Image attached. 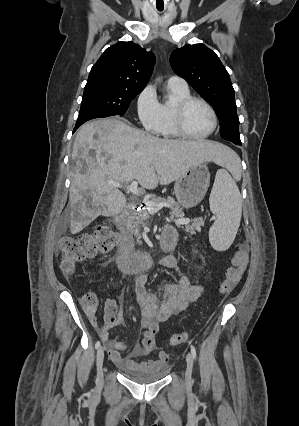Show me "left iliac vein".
Masks as SVG:
<instances>
[{
    "mask_svg": "<svg viewBox=\"0 0 299 426\" xmlns=\"http://www.w3.org/2000/svg\"><path fill=\"white\" fill-rule=\"evenodd\" d=\"M186 363H187V367H186V372H185V384L188 387V386L191 385L192 370H193V356H192L191 353H187Z\"/></svg>",
    "mask_w": 299,
    "mask_h": 426,
    "instance_id": "obj_1",
    "label": "left iliac vein"
}]
</instances>
